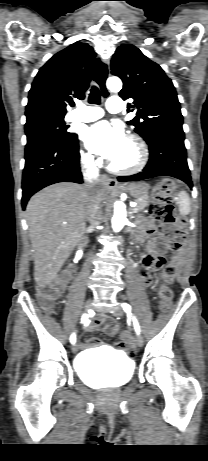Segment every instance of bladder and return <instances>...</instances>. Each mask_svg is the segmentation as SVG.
Segmentation results:
<instances>
[{
	"instance_id": "1",
	"label": "bladder",
	"mask_w": 208,
	"mask_h": 461,
	"mask_svg": "<svg viewBox=\"0 0 208 461\" xmlns=\"http://www.w3.org/2000/svg\"><path fill=\"white\" fill-rule=\"evenodd\" d=\"M75 371L92 387L119 388L132 378L134 361L120 353L85 352L77 358Z\"/></svg>"
}]
</instances>
